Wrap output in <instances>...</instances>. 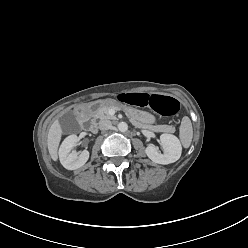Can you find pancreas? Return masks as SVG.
<instances>
[{"mask_svg":"<svg viewBox=\"0 0 248 248\" xmlns=\"http://www.w3.org/2000/svg\"><path fill=\"white\" fill-rule=\"evenodd\" d=\"M111 108L114 109H121L119 106L114 104L113 102H108L106 104H103L99 109L97 110V113L95 115L96 118L104 120V119H114V116H111L108 112ZM132 122L140 128H146L155 132H169L173 133L175 132V128L173 126L169 125H148L143 124L141 122L136 121L133 117H131Z\"/></svg>","mask_w":248,"mask_h":248,"instance_id":"cf45deb5","label":"pancreas"}]
</instances>
